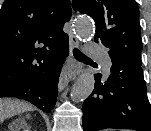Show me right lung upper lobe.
I'll list each match as a JSON object with an SVG mask.
<instances>
[{
    "label": "right lung upper lobe",
    "mask_w": 151,
    "mask_h": 131,
    "mask_svg": "<svg viewBox=\"0 0 151 131\" xmlns=\"http://www.w3.org/2000/svg\"><path fill=\"white\" fill-rule=\"evenodd\" d=\"M69 0H5L0 10V94L31 76L67 41Z\"/></svg>",
    "instance_id": "obj_1"
}]
</instances>
